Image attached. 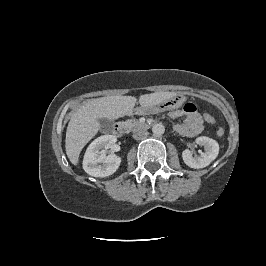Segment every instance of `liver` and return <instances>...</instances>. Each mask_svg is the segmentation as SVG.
Masks as SVG:
<instances>
[{
    "label": "liver",
    "mask_w": 266,
    "mask_h": 266,
    "mask_svg": "<svg viewBox=\"0 0 266 266\" xmlns=\"http://www.w3.org/2000/svg\"><path fill=\"white\" fill-rule=\"evenodd\" d=\"M176 95L175 92H155L141 95V107H149L166 101ZM134 96H108L85 102L71 117L65 139L66 154L73 165H77L83 147L100 129V118L114 120L132 113L136 104Z\"/></svg>",
    "instance_id": "obj_1"
}]
</instances>
